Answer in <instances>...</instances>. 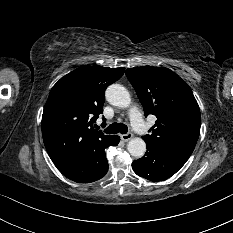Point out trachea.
<instances>
[{"label": "trachea", "mask_w": 233, "mask_h": 233, "mask_svg": "<svg viewBox=\"0 0 233 233\" xmlns=\"http://www.w3.org/2000/svg\"><path fill=\"white\" fill-rule=\"evenodd\" d=\"M104 131L107 134H117V133L126 134L128 132V127L123 123L115 122L109 125Z\"/></svg>", "instance_id": "3493384b"}]
</instances>
